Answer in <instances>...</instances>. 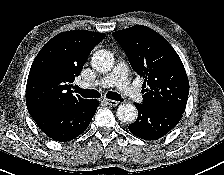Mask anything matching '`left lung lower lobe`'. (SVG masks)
<instances>
[{
	"label": "left lung lower lobe",
	"mask_w": 224,
	"mask_h": 175,
	"mask_svg": "<svg viewBox=\"0 0 224 175\" xmlns=\"http://www.w3.org/2000/svg\"><path fill=\"white\" fill-rule=\"evenodd\" d=\"M137 120L129 125L135 136L144 140H157L171 131L182 118L183 113L135 103Z\"/></svg>",
	"instance_id": "1"
}]
</instances>
